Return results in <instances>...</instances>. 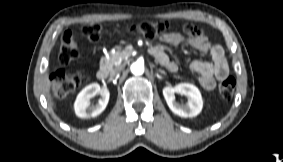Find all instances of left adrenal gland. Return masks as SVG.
Segmentation results:
<instances>
[{
  "label": "left adrenal gland",
  "instance_id": "a2214340",
  "mask_svg": "<svg viewBox=\"0 0 283 162\" xmlns=\"http://www.w3.org/2000/svg\"><path fill=\"white\" fill-rule=\"evenodd\" d=\"M158 71H159L160 73L166 75L165 71H163V70H161V69H159Z\"/></svg>",
  "mask_w": 283,
  "mask_h": 162
}]
</instances>
